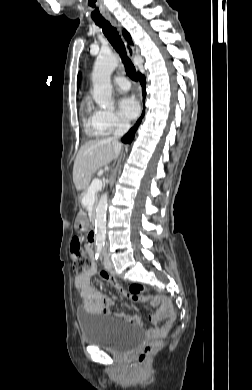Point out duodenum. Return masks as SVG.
I'll list each match as a JSON object with an SVG mask.
<instances>
[{"mask_svg": "<svg viewBox=\"0 0 252 390\" xmlns=\"http://www.w3.org/2000/svg\"><path fill=\"white\" fill-rule=\"evenodd\" d=\"M89 237H90V242L92 243V244H94L95 243V241H96V233H95V231L94 230H91L90 231V233H89Z\"/></svg>", "mask_w": 252, "mask_h": 390, "instance_id": "obj_1", "label": "duodenum"}]
</instances>
